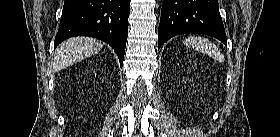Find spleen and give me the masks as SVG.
<instances>
[{"label": "spleen", "instance_id": "3e777b00", "mask_svg": "<svg viewBox=\"0 0 280 137\" xmlns=\"http://www.w3.org/2000/svg\"><path fill=\"white\" fill-rule=\"evenodd\" d=\"M183 43L187 47H191L205 53L219 62L224 61V55L219 51L218 47L206 38L188 37Z\"/></svg>", "mask_w": 280, "mask_h": 137}]
</instances>
